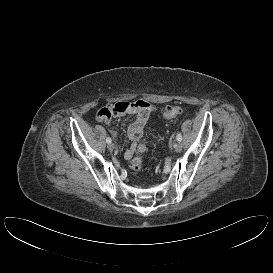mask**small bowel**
I'll list each match as a JSON object with an SVG mask.
<instances>
[{
	"instance_id": "obj_1",
	"label": "small bowel",
	"mask_w": 273,
	"mask_h": 273,
	"mask_svg": "<svg viewBox=\"0 0 273 273\" xmlns=\"http://www.w3.org/2000/svg\"><path fill=\"white\" fill-rule=\"evenodd\" d=\"M154 110L155 107L144 100L134 102L121 101L101 108L96 114V119L101 122L110 123L112 117L115 116L126 115L134 117L128 128V136L132 144L124 154V157L129 160L133 157L137 148V141L143 133L144 125ZM112 133L116 135L115 131H112Z\"/></svg>"
}]
</instances>
